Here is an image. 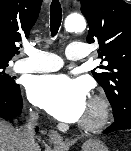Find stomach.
<instances>
[{"mask_svg": "<svg viewBox=\"0 0 131 151\" xmlns=\"http://www.w3.org/2000/svg\"><path fill=\"white\" fill-rule=\"evenodd\" d=\"M82 151H108V148L99 139H89L82 145Z\"/></svg>", "mask_w": 131, "mask_h": 151, "instance_id": "obj_1", "label": "stomach"}]
</instances>
